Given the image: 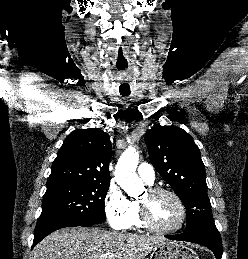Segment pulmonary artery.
<instances>
[{"mask_svg":"<svg viewBox=\"0 0 248 259\" xmlns=\"http://www.w3.org/2000/svg\"><path fill=\"white\" fill-rule=\"evenodd\" d=\"M138 175L148 184H153L155 180V172L153 167L148 163H142L137 170Z\"/></svg>","mask_w":248,"mask_h":259,"instance_id":"e3ab8cb5","label":"pulmonary artery"}]
</instances>
